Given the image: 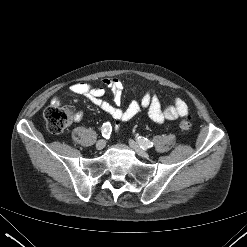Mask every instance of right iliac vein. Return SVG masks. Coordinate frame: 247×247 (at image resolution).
I'll return each mask as SVG.
<instances>
[{"label":"right iliac vein","mask_w":247,"mask_h":247,"mask_svg":"<svg viewBox=\"0 0 247 247\" xmlns=\"http://www.w3.org/2000/svg\"><path fill=\"white\" fill-rule=\"evenodd\" d=\"M105 146H106V140H104V139H101V140H99V141L96 143V148H97L98 150L104 149Z\"/></svg>","instance_id":"1"}]
</instances>
